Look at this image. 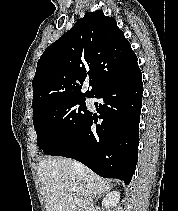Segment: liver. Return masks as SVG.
Here are the masks:
<instances>
[{
    "instance_id": "6515ba94",
    "label": "liver",
    "mask_w": 178,
    "mask_h": 211,
    "mask_svg": "<svg viewBox=\"0 0 178 211\" xmlns=\"http://www.w3.org/2000/svg\"><path fill=\"white\" fill-rule=\"evenodd\" d=\"M76 163L61 157L40 160L37 174L46 211H90V198L110 190L106 180L83 165L78 169Z\"/></svg>"
}]
</instances>
